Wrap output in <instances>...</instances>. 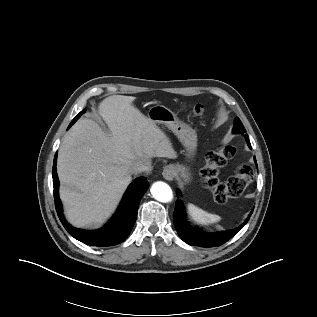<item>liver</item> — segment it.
<instances>
[{"instance_id": "liver-1", "label": "liver", "mask_w": 317, "mask_h": 317, "mask_svg": "<svg viewBox=\"0 0 317 317\" xmlns=\"http://www.w3.org/2000/svg\"><path fill=\"white\" fill-rule=\"evenodd\" d=\"M135 99L113 95L99 104L110 133L84 118L62 141L57 159L60 198L75 227H96L111 216L132 181L135 163L177 158L171 140L133 105Z\"/></svg>"}]
</instances>
